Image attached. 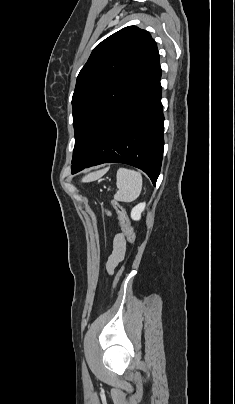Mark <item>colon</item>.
<instances>
[{"label":"colon","instance_id":"colon-1","mask_svg":"<svg viewBox=\"0 0 235 404\" xmlns=\"http://www.w3.org/2000/svg\"><path fill=\"white\" fill-rule=\"evenodd\" d=\"M113 207L116 210V212L118 213L120 220H121V228L122 231L127 239V241L131 244L134 245L135 244V232L133 227L131 226L129 220L127 219L126 215H125V209L123 208L122 205H120L117 201L113 202ZM106 213L108 215H111L110 211H106ZM123 273V268L120 269L117 274L115 275L114 278V282L113 285L114 287L116 286V284L118 283V280L121 276V274Z\"/></svg>","mask_w":235,"mask_h":404}]
</instances>
